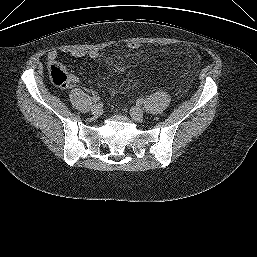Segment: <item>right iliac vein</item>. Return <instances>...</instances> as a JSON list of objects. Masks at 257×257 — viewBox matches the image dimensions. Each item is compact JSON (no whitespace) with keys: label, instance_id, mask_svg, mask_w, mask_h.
I'll return each instance as SVG.
<instances>
[{"label":"right iliac vein","instance_id":"right-iliac-vein-1","mask_svg":"<svg viewBox=\"0 0 257 257\" xmlns=\"http://www.w3.org/2000/svg\"><path fill=\"white\" fill-rule=\"evenodd\" d=\"M91 112L94 116H100L103 113L102 106L100 104H94L91 107Z\"/></svg>","mask_w":257,"mask_h":257}]
</instances>
